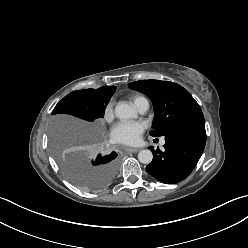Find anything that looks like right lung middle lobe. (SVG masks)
Masks as SVG:
<instances>
[{"label": "right lung middle lobe", "mask_w": 248, "mask_h": 248, "mask_svg": "<svg viewBox=\"0 0 248 248\" xmlns=\"http://www.w3.org/2000/svg\"><path fill=\"white\" fill-rule=\"evenodd\" d=\"M114 92L107 88L73 91L56 105L52 114H69L92 122L103 118ZM52 150L66 178L85 191L100 190L116 176L118 160L115 152L99 154L90 160L80 152L66 150L55 141L52 142Z\"/></svg>", "instance_id": "obj_1"}]
</instances>
